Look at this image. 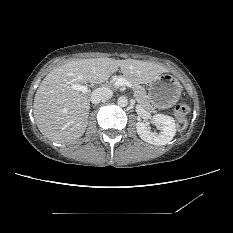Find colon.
<instances>
[{
    "label": "colon",
    "instance_id": "5ec220e1",
    "mask_svg": "<svg viewBox=\"0 0 233 233\" xmlns=\"http://www.w3.org/2000/svg\"><path fill=\"white\" fill-rule=\"evenodd\" d=\"M190 112V107L185 103H179L174 109L176 127L178 130H184L188 125L187 116Z\"/></svg>",
    "mask_w": 233,
    "mask_h": 233
}]
</instances>
